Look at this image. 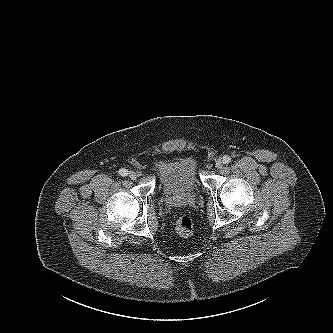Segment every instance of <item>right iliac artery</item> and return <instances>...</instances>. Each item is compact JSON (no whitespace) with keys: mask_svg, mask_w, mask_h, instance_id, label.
I'll list each match as a JSON object with an SVG mask.
<instances>
[{"mask_svg":"<svg viewBox=\"0 0 333 333\" xmlns=\"http://www.w3.org/2000/svg\"><path fill=\"white\" fill-rule=\"evenodd\" d=\"M118 172L121 176H127L128 175V171L124 168L120 169Z\"/></svg>","mask_w":333,"mask_h":333,"instance_id":"right-iliac-artery-1","label":"right iliac artery"}]
</instances>
